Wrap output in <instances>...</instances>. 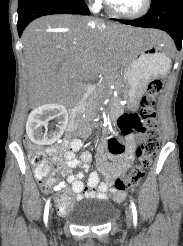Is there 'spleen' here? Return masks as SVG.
<instances>
[{
  "label": "spleen",
  "instance_id": "1",
  "mask_svg": "<svg viewBox=\"0 0 183 246\" xmlns=\"http://www.w3.org/2000/svg\"><path fill=\"white\" fill-rule=\"evenodd\" d=\"M146 63V59L144 57H140L134 64L133 69L137 70L142 67Z\"/></svg>",
  "mask_w": 183,
  "mask_h": 246
}]
</instances>
